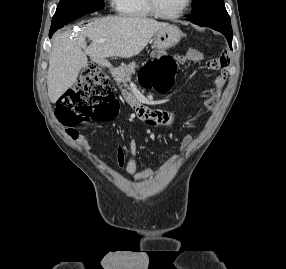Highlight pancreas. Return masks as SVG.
I'll list each match as a JSON object with an SVG mask.
<instances>
[{"label":"pancreas","instance_id":"cf45deb5","mask_svg":"<svg viewBox=\"0 0 286 269\" xmlns=\"http://www.w3.org/2000/svg\"><path fill=\"white\" fill-rule=\"evenodd\" d=\"M135 63H130L128 65H122L112 71V76L119 86L122 95L125 98H134L130 93V87L128 82L131 80V76L135 73Z\"/></svg>","mask_w":286,"mask_h":269}]
</instances>
